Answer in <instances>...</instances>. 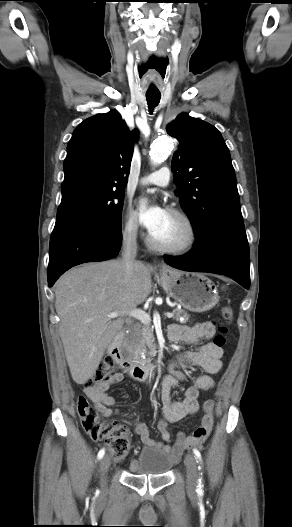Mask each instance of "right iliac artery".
Returning a JSON list of instances; mask_svg holds the SVG:
<instances>
[{
  "label": "right iliac artery",
  "instance_id": "obj_1",
  "mask_svg": "<svg viewBox=\"0 0 292 527\" xmlns=\"http://www.w3.org/2000/svg\"><path fill=\"white\" fill-rule=\"evenodd\" d=\"M105 454V449H101L99 452H98V455H97V458L98 459H101Z\"/></svg>",
  "mask_w": 292,
  "mask_h": 527
}]
</instances>
